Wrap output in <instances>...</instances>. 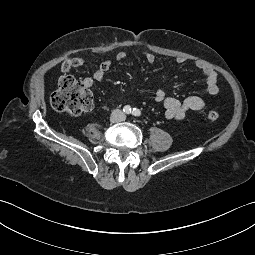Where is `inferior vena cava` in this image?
<instances>
[{"instance_id": "obj_1", "label": "inferior vena cava", "mask_w": 255, "mask_h": 255, "mask_svg": "<svg viewBox=\"0 0 255 255\" xmlns=\"http://www.w3.org/2000/svg\"><path fill=\"white\" fill-rule=\"evenodd\" d=\"M111 119L113 122H121L125 119V115L121 110L115 109L112 111Z\"/></svg>"}]
</instances>
